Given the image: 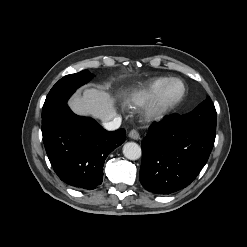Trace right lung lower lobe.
Segmentation results:
<instances>
[{
  "mask_svg": "<svg viewBox=\"0 0 247 247\" xmlns=\"http://www.w3.org/2000/svg\"><path fill=\"white\" fill-rule=\"evenodd\" d=\"M42 135L56 174L79 189H94L102 183L105 159L126 139L124 129L108 132L67 105L42 116Z\"/></svg>",
  "mask_w": 247,
  "mask_h": 247,
  "instance_id": "98d812e1",
  "label": "right lung lower lobe"
}]
</instances>
